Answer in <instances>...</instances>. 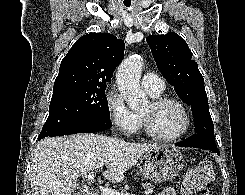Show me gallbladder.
Returning a JSON list of instances; mask_svg holds the SVG:
<instances>
[{"label":"gallbladder","instance_id":"gallbladder-1","mask_svg":"<svg viewBox=\"0 0 245 195\" xmlns=\"http://www.w3.org/2000/svg\"><path fill=\"white\" fill-rule=\"evenodd\" d=\"M73 195H86V189L81 184H77L73 190Z\"/></svg>","mask_w":245,"mask_h":195}]
</instances>
